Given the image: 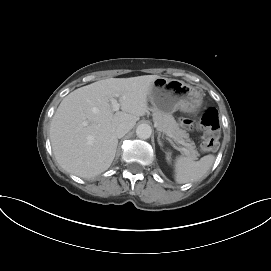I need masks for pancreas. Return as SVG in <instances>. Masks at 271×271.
<instances>
[{
  "mask_svg": "<svg viewBox=\"0 0 271 271\" xmlns=\"http://www.w3.org/2000/svg\"><path fill=\"white\" fill-rule=\"evenodd\" d=\"M153 120L157 130L166 135H172L175 137L182 145L186 147L187 152H185V154L192 159H197L199 153L196 149L195 143L190 140L189 133L179 127L178 123L171 114L163 113L154 109Z\"/></svg>",
  "mask_w": 271,
  "mask_h": 271,
  "instance_id": "1",
  "label": "pancreas"
}]
</instances>
